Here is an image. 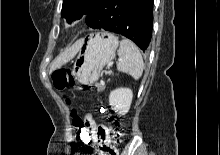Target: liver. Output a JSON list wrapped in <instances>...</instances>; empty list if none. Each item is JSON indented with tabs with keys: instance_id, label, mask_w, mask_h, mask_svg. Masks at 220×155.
<instances>
[{
	"instance_id": "liver-1",
	"label": "liver",
	"mask_w": 220,
	"mask_h": 155,
	"mask_svg": "<svg viewBox=\"0 0 220 155\" xmlns=\"http://www.w3.org/2000/svg\"><path fill=\"white\" fill-rule=\"evenodd\" d=\"M81 44H82V41L80 40L76 44H74L71 48L65 50L62 54H60L56 58V60L52 63V65L50 67V72H52L56 68L61 67L63 64L67 63L72 58H74L75 55L80 50Z\"/></svg>"
}]
</instances>
